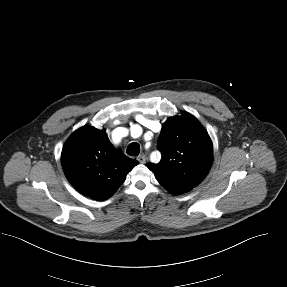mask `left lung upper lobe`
I'll list each match as a JSON object with an SVG mask.
<instances>
[{"instance_id": "5c2ea615", "label": "left lung upper lobe", "mask_w": 287, "mask_h": 287, "mask_svg": "<svg viewBox=\"0 0 287 287\" xmlns=\"http://www.w3.org/2000/svg\"><path fill=\"white\" fill-rule=\"evenodd\" d=\"M158 149L162 153L161 161L147 166L174 195L200 184L212 165V141L200 122L187 112L170 117L163 124Z\"/></svg>"}]
</instances>
